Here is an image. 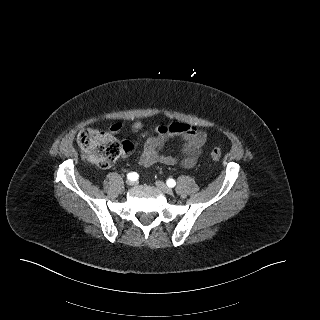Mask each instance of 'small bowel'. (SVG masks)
Returning <instances> with one entry per match:
<instances>
[{"label": "small bowel", "mask_w": 320, "mask_h": 320, "mask_svg": "<svg viewBox=\"0 0 320 320\" xmlns=\"http://www.w3.org/2000/svg\"><path fill=\"white\" fill-rule=\"evenodd\" d=\"M114 133L120 131V126L115 124L111 127ZM131 130L134 134L145 138L143 151L139 158V164L143 167H150L155 164L175 165L179 163L183 168H193L200 157L203 147L207 142V134L203 130H198L185 123H171L160 125L155 129V135H149L144 130L141 121H135ZM173 137H180L183 144L178 155H168L161 153V150L167 140ZM123 145L131 146L128 141H123ZM131 150L124 151V155L130 154Z\"/></svg>", "instance_id": "c3829d8e"}]
</instances>
